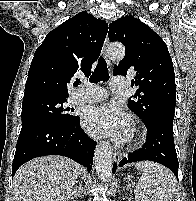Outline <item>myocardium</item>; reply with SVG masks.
<instances>
[{
	"label": "myocardium",
	"mask_w": 196,
	"mask_h": 201,
	"mask_svg": "<svg viewBox=\"0 0 196 201\" xmlns=\"http://www.w3.org/2000/svg\"><path fill=\"white\" fill-rule=\"evenodd\" d=\"M142 133H141V128L139 126H136L133 130V135H132V141H137L141 138Z\"/></svg>",
	"instance_id": "1"
}]
</instances>
